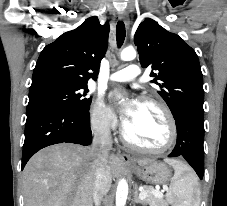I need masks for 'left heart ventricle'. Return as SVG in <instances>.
I'll return each mask as SVG.
<instances>
[{
  "label": "left heart ventricle",
  "mask_w": 227,
  "mask_h": 206,
  "mask_svg": "<svg viewBox=\"0 0 227 206\" xmlns=\"http://www.w3.org/2000/svg\"><path fill=\"white\" fill-rule=\"evenodd\" d=\"M137 144L158 148L168 139V124L162 111L155 105L140 103L132 123L125 129Z\"/></svg>",
  "instance_id": "1"
}]
</instances>
